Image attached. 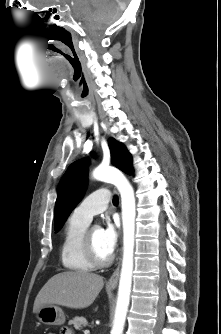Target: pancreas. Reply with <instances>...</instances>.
<instances>
[{
	"label": "pancreas",
	"mask_w": 221,
	"mask_h": 334,
	"mask_svg": "<svg viewBox=\"0 0 221 334\" xmlns=\"http://www.w3.org/2000/svg\"><path fill=\"white\" fill-rule=\"evenodd\" d=\"M70 324H73L76 330H81L88 325L87 320L84 317H75L70 321Z\"/></svg>",
	"instance_id": "1"
}]
</instances>
